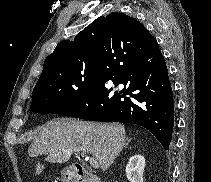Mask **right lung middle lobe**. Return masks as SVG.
Masks as SVG:
<instances>
[{
    "mask_svg": "<svg viewBox=\"0 0 211 182\" xmlns=\"http://www.w3.org/2000/svg\"><path fill=\"white\" fill-rule=\"evenodd\" d=\"M97 74V67L94 66L35 86L30 109L39 114L63 115L85 96Z\"/></svg>",
    "mask_w": 211,
    "mask_h": 182,
    "instance_id": "obj_1",
    "label": "right lung middle lobe"
}]
</instances>
